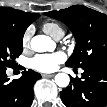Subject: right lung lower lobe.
I'll return each instance as SVG.
<instances>
[{"mask_svg": "<svg viewBox=\"0 0 107 107\" xmlns=\"http://www.w3.org/2000/svg\"><path fill=\"white\" fill-rule=\"evenodd\" d=\"M41 75L24 71L19 79L9 81L6 69L0 68V107H30L34 98L33 85Z\"/></svg>", "mask_w": 107, "mask_h": 107, "instance_id": "1", "label": "right lung lower lobe"}]
</instances>
